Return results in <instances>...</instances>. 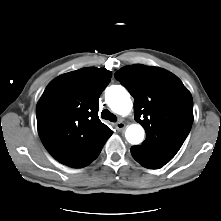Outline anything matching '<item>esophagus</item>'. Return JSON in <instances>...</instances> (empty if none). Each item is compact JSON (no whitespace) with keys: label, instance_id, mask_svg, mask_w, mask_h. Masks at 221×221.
Instances as JSON below:
<instances>
[{"label":"esophagus","instance_id":"1","mask_svg":"<svg viewBox=\"0 0 221 221\" xmlns=\"http://www.w3.org/2000/svg\"><path fill=\"white\" fill-rule=\"evenodd\" d=\"M114 126L118 131H121L126 127L125 123H123L122 121L115 123Z\"/></svg>","mask_w":221,"mask_h":221}]
</instances>
